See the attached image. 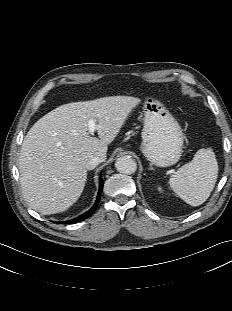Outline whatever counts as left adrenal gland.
Masks as SVG:
<instances>
[{
	"mask_svg": "<svg viewBox=\"0 0 232 311\" xmlns=\"http://www.w3.org/2000/svg\"><path fill=\"white\" fill-rule=\"evenodd\" d=\"M149 169H150V170H153V168H152V167H149Z\"/></svg>",
	"mask_w": 232,
	"mask_h": 311,
	"instance_id": "a2214340",
	"label": "left adrenal gland"
}]
</instances>
